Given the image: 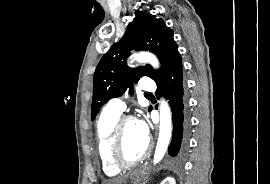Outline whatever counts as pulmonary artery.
I'll return each mask as SVG.
<instances>
[{"label":"pulmonary artery","mask_w":270,"mask_h":184,"mask_svg":"<svg viewBox=\"0 0 270 184\" xmlns=\"http://www.w3.org/2000/svg\"><path fill=\"white\" fill-rule=\"evenodd\" d=\"M155 88V83L150 78H142L139 82V89L145 93H151L155 91ZM107 107L113 111L122 113L125 110L126 105L122 99L114 98L109 101Z\"/></svg>","instance_id":"pulmonary-artery-1"}]
</instances>
